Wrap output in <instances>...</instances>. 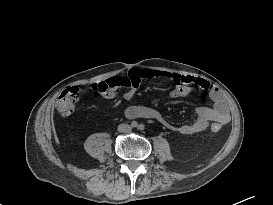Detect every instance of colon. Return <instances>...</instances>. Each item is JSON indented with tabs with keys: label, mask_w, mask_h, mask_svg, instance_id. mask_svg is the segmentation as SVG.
Instances as JSON below:
<instances>
[{
	"label": "colon",
	"mask_w": 273,
	"mask_h": 205,
	"mask_svg": "<svg viewBox=\"0 0 273 205\" xmlns=\"http://www.w3.org/2000/svg\"><path fill=\"white\" fill-rule=\"evenodd\" d=\"M141 78H139L137 75H132L130 79V84L132 86H137L140 82ZM78 100V90L76 89H66L60 93L58 96L57 102H56V108L62 115H70L77 104ZM211 130L213 132H218L220 130V125L213 124L211 126Z\"/></svg>",
	"instance_id": "colon-1"
}]
</instances>
